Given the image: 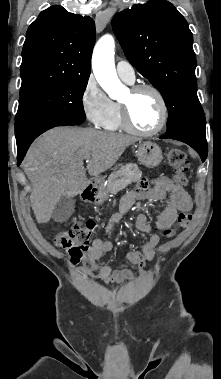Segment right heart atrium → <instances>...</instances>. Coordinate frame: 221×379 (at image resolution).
Listing matches in <instances>:
<instances>
[{
    "label": "right heart atrium",
    "instance_id": "d8ad5b80",
    "mask_svg": "<svg viewBox=\"0 0 221 379\" xmlns=\"http://www.w3.org/2000/svg\"><path fill=\"white\" fill-rule=\"evenodd\" d=\"M80 102L86 118L97 127L103 125L111 112L112 100L92 76L83 87Z\"/></svg>",
    "mask_w": 221,
    "mask_h": 379
}]
</instances>
